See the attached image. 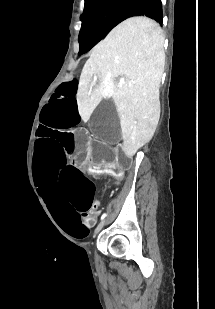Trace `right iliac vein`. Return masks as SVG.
I'll use <instances>...</instances> for the list:
<instances>
[{"label": "right iliac vein", "instance_id": "1", "mask_svg": "<svg viewBox=\"0 0 215 309\" xmlns=\"http://www.w3.org/2000/svg\"><path fill=\"white\" fill-rule=\"evenodd\" d=\"M106 222H107V218H106V219H103V220L99 223V225L97 226V228H96L95 231H94L93 238L96 237V235H97L98 232L103 228V226L106 224Z\"/></svg>", "mask_w": 215, "mask_h": 309}]
</instances>
